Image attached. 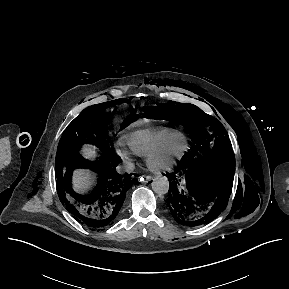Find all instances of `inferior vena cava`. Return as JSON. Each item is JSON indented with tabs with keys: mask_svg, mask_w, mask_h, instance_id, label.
Segmentation results:
<instances>
[{
	"mask_svg": "<svg viewBox=\"0 0 289 289\" xmlns=\"http://www.w3.org/2000/svg\"><path fill=\"white\" fill-rule=\"evenodd\" d=\"M133 170H134V164H132V163H126L125 165L119 166L117 168V171L119 173H125V172L131 173Z\"/></svg>",
	"mask_w": 289,
	"mask_h": 289,
	"instance_id": "1",
	"label": "inferior vena cava"
}]
</instances>
